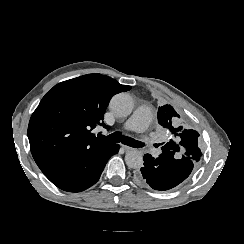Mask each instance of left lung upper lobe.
I'll return each mask as SVG.
<instances>
[{"instance_id":"5c2ea615","label":"left lung upper lobe","mask_w":244,"mask_h":244,"mask_svg":"<svg viewBox=\"0 0 244 244\" xmlns=\"http://www.w3.org/2000/svg\"><path fill=\"white\" fill-rule=\"evenodd\" d=\"M179 117L175 109L169 104L158 109V123L174 135V138L170 139L169 142L162 143L164 144L161 147L162 152L173 151L178 157H187L198 162L201 157L198 144L199 133L189 127L178 126L176 119Z\"/></svg>"}]
</instances>
